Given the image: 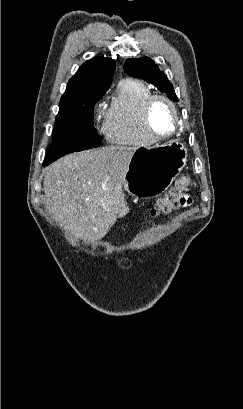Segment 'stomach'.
<instances>
[{
	"mask_svg": "<svg viewBox=\"0 0 243 409\" xmlns=\"http://www.w3.org/2000/svg\"><path fill=\"white\" fill-rule=\"evenodd\" d=\"M187 162V149L170 141L134 151L123 183L133 196L157 195L167 190Z\"/></svg>",
	"mask_w": 243,
	"mask_h": 409,
	"instance_id": "stomach-1",
	"label": "stomach"
}]
</instances>
